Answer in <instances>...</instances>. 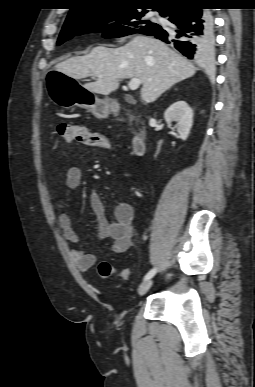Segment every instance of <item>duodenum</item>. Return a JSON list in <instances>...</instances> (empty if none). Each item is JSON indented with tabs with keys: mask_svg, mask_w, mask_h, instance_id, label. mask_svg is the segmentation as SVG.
Here are the masks:
<instances>
[{
	"mask_svg": "<svg viewBox=\"0 0 255 387\" xmlns=\"http://www.w3.org/2000/svg\"><path fill=\"white\" fill-rule=\"evenodd\" d=\"M145 152V143L142 133L136 134L132 139V153L133 155L139 157L142 156Z\"/></svg>",
	"mask_w": 255,
	"mask_h": 387,
	"instance_id": "1",
	"label": "duodenum"
}]
</instances>
